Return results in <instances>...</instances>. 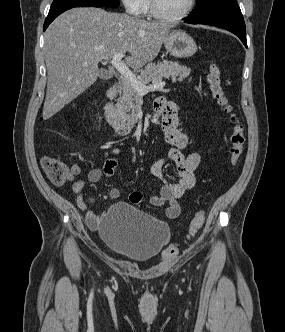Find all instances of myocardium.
<instances>
[{"mask_svg":"<svg viewBox=\"0 0 285 332\" xmlns=\"http://www.w3.org/2000/svg\"><path fill=\"white\" fill-rule=\"evenodd\" d=\"M197 0H190L188 7L179 15L169 16L161 12L157 0H150V12L154 18L164 22H177L185 19L195 8Z\"/></svg>","mask_w":285,"mask_h":332,"instance_id":"1","label":"myocardium"}]
</instances>
